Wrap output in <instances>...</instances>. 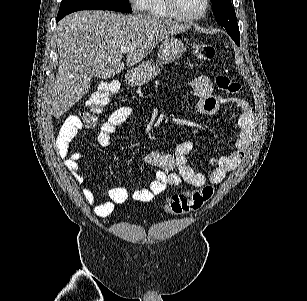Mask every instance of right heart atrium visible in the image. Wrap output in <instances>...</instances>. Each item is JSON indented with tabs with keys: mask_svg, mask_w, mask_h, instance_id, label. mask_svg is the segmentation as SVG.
Wrapping results in <instances>:
<instances>
[{
	"mask_svg": "<svg viewBox=\"0 0 307 301\" xmlns=\"http://www.w3.org/2000/svg\"><path fill=\"white\" fill-rule=\"evenodd\" d=\"M133 4H139L138 5V10L139 11H148L149 10V5L144 4L145 0H132Z\"/></svg>",
	"mask_w": 307,
	"mask_h": 301,
	"instance_id": "right-heart-atrium-1",
	"label": "right heart atrium"
}]
</instances>
